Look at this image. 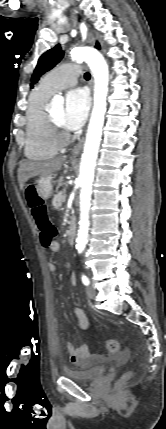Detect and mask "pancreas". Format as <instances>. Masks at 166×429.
I'll return each instance as SVG.
<instances>
[{"instance_id": "cf45deb5", "label": "pancreas", "mask_w": 166, "mask_h": 429, "mask_svg": "<svg viewBox=\"0 0 166 429\" xmlns=\"http://www.w3.org/2000/svg\"><path fill=\"white\" fill-rule=\"evenodd\" d=\"M63 196H65V194L62 192H59L58 194L54 195L52 205L55 209H59L62 206Z\"/></svg>"}]
</instances>
